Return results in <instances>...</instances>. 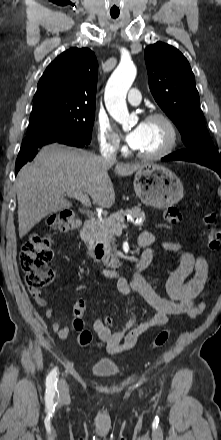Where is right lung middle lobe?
<instances>
[{"mask_svg":"<svg viewBox=\"0 0 221 440\" xmlns=\"http://www.w3.org/2000/svg\"><path fill=\"white\" fill-rule=\"evenodd\" d=\"M95 104L40 101L34 103L27 136L56 134L91 142Z\"/></svg>","mask_w":221,"mask_h":440,"instance_id":"dd1d6c3e","label":"right lung middle lobe"}]
</instances>
